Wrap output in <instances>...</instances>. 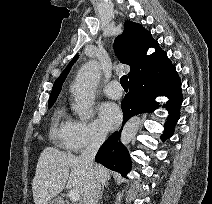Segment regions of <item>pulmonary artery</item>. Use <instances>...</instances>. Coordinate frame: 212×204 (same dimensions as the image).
<instances>
[{
  "label": "pulmonary artery",
  "instance_id": "obj_1",
  "mask_svg": "<svg viewBox=\"0 0 212 204\" xmlns=\"http://www.w3.org/2000/svg\"><path fill=\"white\" fill-rule=\"evenodd\" d=\"M103 93L110 98L119 99L122 96V88L117 81H112L103 88Z\"/></svg>",
  "mask_w": 212,
  "mask_h": 204
}]
</instances>
